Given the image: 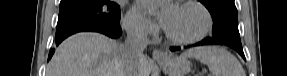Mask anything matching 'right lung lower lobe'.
<instances>
[{
	"instance_id": "1",
	"label": "right lung lower lobe",
	"mask_w": 287,
	"mask_h": 76,
	"mask_svg": "<svg viewBox=\"0 0 287 76\" xmlns=\"http://www.w3.org/2000/svg\"><path fill=\"white\" fill-rule=\"evenodd\" d=\"M80 31H95V32H100L103 33L111 38H118L122 31L120 28V25H110V26H104V25H91V26H83L80 28H76L73 30H70L64 34H60V35H56V43L57 45L63 41L65 38H67L68 36L76 33V32H80ZM54 53V50H51L48 56V61L51 59L52 55Z\"/></svg>"
}]
</instances>
